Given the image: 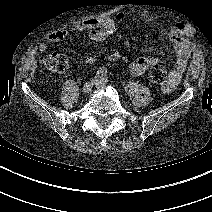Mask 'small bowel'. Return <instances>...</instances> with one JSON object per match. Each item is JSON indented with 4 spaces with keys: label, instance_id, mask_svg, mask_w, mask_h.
Returning <instances> with one entry per match:
<instances>
[{
    "label": "small bowel",
    "instance_id": "obj_1",
    "mask_svg": "<svg viewBox=\"0 0 212 212\" xmlns=\"http://www.w3.org/2000/svg\"><path fill=\"white\" fill-rule=\"evenodd\" d=\"M125 18L126 13L119 11L115 14L114 18L104 15L79 22L72 26L71 31L75 34H86L90 39L95 41H104L113 34L116 21H122ZM187 30L188 26L185 23L177 21L167 31V43L165 47L176 55V63L174 68L169 72L167 80L161 85L162 91L166 93L172 92L178 85L191 56V44L183 36ZM69 35V31L57 30L48 36V41L56 43L66 39ZM40 50L43 52L47 51V44H40ZM119 59V52H112L104 57V60L108 62H115ZM97 61H99V58L92 55L84 59L86 64H94ZM159 63L157 58L141 57L133 61L129 69L132 75L140 76Z\"/></svg>",
    "mask_w": 212,
    "mask_h": 212
}]
</instances>
